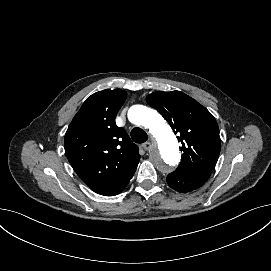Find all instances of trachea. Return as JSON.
I'll return each instance as SVG.
<instances>
[{
	"label": "trachea",
	"mask_w": 271,
	"mask_h": 271,
	"mask_svg": "<svg viewBox=\"0 0 271 271\" xmlns=\"http://www.w3.org/2000/svg\"><path fill=\"white\" fill-rule=\"evenodd\" d=\"M130 135L135 143H144L148 139L147 133L138 127L133 128Z\"/></svg>",
	"instance_id": "1"
}]
</instances>
